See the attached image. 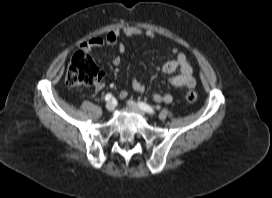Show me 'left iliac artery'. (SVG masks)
I'll list each match as a JSON object with an SVG mask.
<instances>
[{
  "mask_svg": "<svg viewBox=\"0 0 272 198\" xmlns=\"http://www.w3.org/2000/svg\"><path fill=\"white\" fill-rule=\"evenodd\" d=\"M138 105L142 110H144L147 113H150V114L155 113V110L150 105H148V104H146L144 102H139Z\"/></svg>",
  "mask_w": 272,
  "mask_h": 198,
  "instance_id": "obj_1",
  "label": "left iliac artery"
}]
</instances>
